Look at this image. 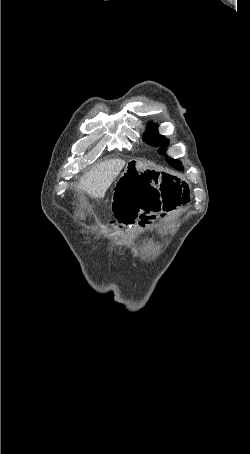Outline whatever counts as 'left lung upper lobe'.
<instances>
[{"mask_svg":"<svg viewBox=\"0 0 250 454\" xmlns=\"http://www.w3.org/2000/svg\"><path fill=\"white\" fill-rule=\"evenodd\" d=\"M150 127H151V129L149 131H147L145 133V136L143 137L144 141H147L149 144H151V145H153L155 147H160V149L158 151L162 155H164V152H165L164 147L168 146L169 143H168L167 139L164 136L158 134V130L157 129L153 128L154 124H151ZM166 160L168 162H170V161H174L175 159L166 158Z\"/></svg>","mask_w":250,"mask_h":454,"instance_id":"1","label":"left lung upper lobe"}]
</instances>
